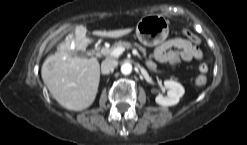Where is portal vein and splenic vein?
Returning a JSON list of instances; mask_svg holds the SVG:
<instances>
[{"instance_id": "obj_1", "label": "portal vein and splenic vein", "mask_w": 247, "mask_h": 145, "mask_svg": "<svg viewBox=\"0 0 247 145\" xmlns=\"http://www.w3.org/2000/svg\"><path fill=\"white\" fill-rule=\"evenodd\" d=\"M124 48H122V47H117V48H115L114 50H112V52H111V56H113V57H119L123 52H124ZM132 53L134 54V55H138V52H137V50H133L132 51Z\"/></svg>"}]
</instances>
